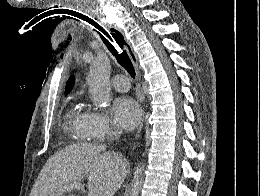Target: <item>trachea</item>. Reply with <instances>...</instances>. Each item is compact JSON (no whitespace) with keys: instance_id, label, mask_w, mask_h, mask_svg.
<instances>
[{"instance_id":"3493384b","label":"trachea","mask_w":260,"mask_h":196,"mask_svg":"<svg viewBox=\"0 0 260 196\" xmlns=\"http://www.w3.org/2000/svg\"><path fill=\"white\" fill-rule=\"evenodd\" d=\"M113 33H104L106 38L104 43L108 50L116 58L119 65H121L129 73L132 78H135V70L128 56L126 50H124V45L126 44L123 35L118 30H112Z\"/></svg>"}]
</instances>
